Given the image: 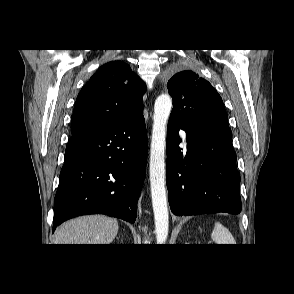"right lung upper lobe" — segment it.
Wrapping results in <instances>:
<instances>
[{"label":"right lung upper lobe","mask_w":294,"mask_h":294,"mask_svg":"<svg viewBox=\"0 0 294 294\" xmlns=\"http://www.w3.org/2000/svg\"><path fill=\"white\" fill-rule=\"evenodd\" d=\"M144 82L123 61L101 66L78 94L72 135L111 126L143 108Z\"/></svg>","instance_id":"1"}]
</instances>
